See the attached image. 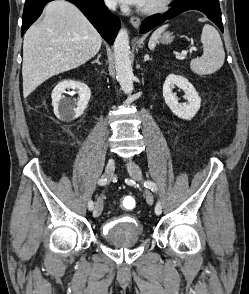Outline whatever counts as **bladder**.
Segmentation results:
<instances>
[{
	"mask_svg": "<svg viewBox=\"0 0 249 294\" xmlns=\"http://www.w3.org/2000/svg\"><path fill=\"white\" fill-rule=\"evenodd\" d=\"M143 236V225L141 221L132 215L114 216L109 218L102 232L105 241H112L116 238H134L141 240Z\"/></svg>",
	"mask_w": 249,
	"mask_h": 294,
	"instance_id": "bladder-1",
	"label": "bladder"
}]
</instances>
